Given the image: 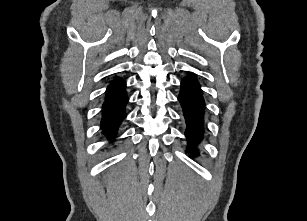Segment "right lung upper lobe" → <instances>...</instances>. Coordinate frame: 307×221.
Returning a JSON list of instances; mask_svg holds the SVG:
<instances>
[{
    "label": "right lung upper lobe",
    "mask_w": 307,
    "mask_h": 221,
    "mask_svg": "<svg viewBox=\"0 0 307 221\" xmlns=\"http://www.w3.org/2000/svg\"><path fill=\"white\" fill-rule=\"evenodd\" d=\"M120 82H122L121 79H115L110 86L116 85V84H118Z\"/></svg>",
    "instance_id": "obj_1"
}]
</instances>
